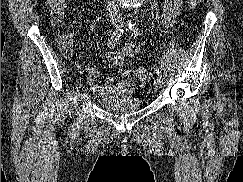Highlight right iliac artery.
Returning a JSON list of instances; mask_svg holds the SVG:
<instances>
[{
  "label": "right iliac artery",
  "instance_id": "obj_1",
  "mask_svg": "<svg viewBox=\"0 0 243 182\" xmlns=\"http://www.w3.org/2000/svg\"><path fill=\"white\" fill-rule=\"evenodd\" d=\"M125 30V25H122L121 27H118L111 35V38H115V39H119L121 37V35L124 33ZM81 85V77H79L76 80V89L78 90L80 88ZM73 127V126H71Z\"/></svg>",
  "mask_w": 243,
  "mask_h": 182
}]
</instances>
